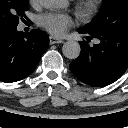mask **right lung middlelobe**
<instances>
[{
    "label": "right lung middle lobe",
    "instance_id": "obj_1",
    "mask_svg": "<svg viewBox=\"0 0 128 128\" xmlns=\"http://www.w3.org/2000/svg\"><path fill=\"white\" fill-rule=\"evenodd\" d=\"M28 6V0H0V29L16 28Z\"/></svg>",
    "mask_w": 128,
    "mask_h": 128
}]
</instances>
